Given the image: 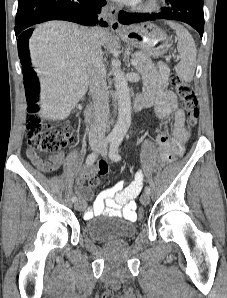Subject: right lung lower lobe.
I'll return each instance as SVG.
<instances>
[{
    "label": "right lung lower lobe",
    "instance_id": "1",
    "mask_svg": "<svg viewBox=\"0 0 227 298\" xmlns=\"http://www.w3.org/2000/svg\"><path fill=\"white\" fill-rule=\"evenodd\" d=\"M104 0H19L15 19V34L18 37V52L22 65L30 64L28 39L33 29L28 27L48 20H66L82 25L108 26L98 20ZM24 78L30 69L22 67Z\"/></svg>",
    "mask_w": 227,
    "mask_h": 298
}]
</instances>
